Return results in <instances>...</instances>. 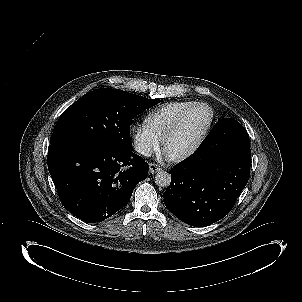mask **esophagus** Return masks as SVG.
<instances>
[{
  "instance_id": "1",
  "label": "esophagus",
  "mask_w": 302,
  "mask_h": 302,
  "mask_svg": "<svg viewBox=\"0 0 302 302\" xmlns=\"http://www.w3.org/2000/svg\"><path fill=\"white\" fill-rule=\"evenodd\" d=\"M160 170H162L161 166L156 164V163H151L149 165V171L150 173L154 174V173H157L159 172Z\"/></svg>"
}]
</instances>
